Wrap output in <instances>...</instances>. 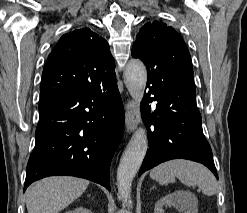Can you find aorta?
<instances>
[{
    "instance_id": "aorta-1",
    "label": "aorta",
    "mask_w": 247,
    "mask_h": 213,
    "mask_svg": "<svg viewBox=\"0 0 247 213\" xmlns=\"http://www.w3.org/2000/svg\"><path fill=\"white\" fill-rule=\"evenodd\" d=\"M124 82L131 97L139 104L147 82V70L138 59H131L125 68ZM148 148L145 128L140 127L129 141L118 166V193L124 203L130 204L132 181L138 172Z\"/></svg>"
}]
</instances>
